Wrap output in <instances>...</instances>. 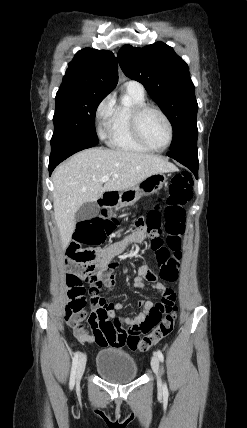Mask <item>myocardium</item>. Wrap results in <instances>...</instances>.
Returning a JSON list of instances; mask_svg holds the SVG:
<instances>
[{"label": "myocardium", "mask_w": 247, "mask_h": 428, "mask_svg": "<svg viewBox=\"0 0 247 428\" xmlns=\"http://www.w3.org/2000/svg\"><path fill=\"white\" fill-rule=\"evenodd\" d=\"M147 111L157 112L164 119V121L167 124L168 140H167L166 144L162 147H154V146L150 145L145 140V138L141 132L140 120H141L142 115ZM129 123H130L131 132H132L134 138L136 139V141L150 151L162 152V151L166 150L171 145V143L173 141L174 129H173L172 122H171L170 118L168 117V115L161 108H159L155 105L144 103V104L134 106L130 112Z\"/></svg>", "instance_id": "1"}]
</instances>
